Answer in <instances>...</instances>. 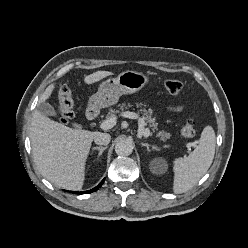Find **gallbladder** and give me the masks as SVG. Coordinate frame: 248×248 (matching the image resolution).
Listing matches in <instances>:
<instances>
[{
  "instance_id": "obj_1",
  "label": "gallbladder",
  "mask_w": 248,
  "mask_h": 248,
  "mask_svg": "<svg viewBox=\"0 0 248 248\" xmlns=\"http://www.w3.org/2000/svg\"><path fill=\"white\" fill-rule=\"evenodd\" d=\"M37 110L46 116H57L56 110L49 103H39L37 105Z\"/></svg>"
}]
</instances>
